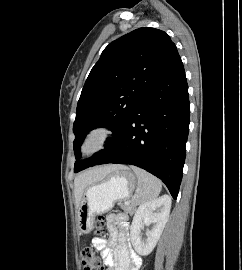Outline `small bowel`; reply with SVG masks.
I'll list each match as a JSON object with an SVG mask.
<instances>
[{
  "instance_id": "obj_1",
  "label": "small bowel",
  "mask_w": 242,
  "mask_h": 270,
  "mask_svg": "<svg viewBox=\"0 0 242 270\" xmlns=\"http://www.w3.org/2000/svg\"><path fill=\"white\" fill-rule=\"evenodd\" d=\"M107 228L108 242L101 237L92 240L93 247L101 252L107 270H138L141 258L130 246L128 216L124 213L110 214Z\"/></svg>"
}]
</instances>
